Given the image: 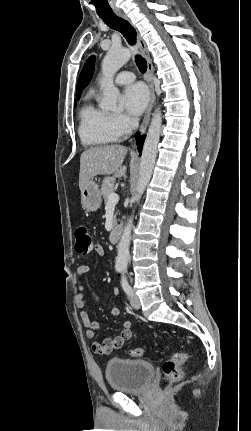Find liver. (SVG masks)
I'll use <instances>...</instances> for the list:
<instances>
[{"label":"liver","mask_w":251,"mask_h":431,"mask_svg":"<svg viewBox=\"0 0 251 431\" xmlns=\"http://www.w3.org/2000/svg\"><path fill=\"white\" fill-rule=\"evenodd\" d=\"M126 154L127 148L118 144L94 147L84 151L80 157V190L97 175L113 174L117 178L123 177L127 171V167L122 166Z\"/></svg>","instance_id":"1"}]
</instances>
